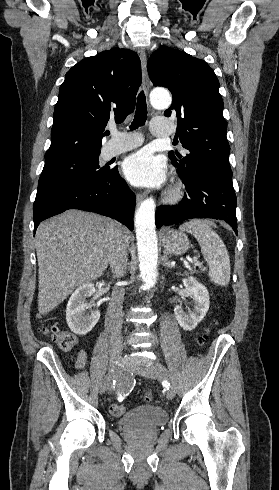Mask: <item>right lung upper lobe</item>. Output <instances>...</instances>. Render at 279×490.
I'll return each instance as SVG.
<instances>
[{
  "label": "right lung upper lobe",
  "mask_w": 279,
  "mask_h": 490,
  "mask_svg": "<svg viewBox=\"0 0 279 490\" xmlns=\"http://www.w3.org/2000/svg\"><path fill=\"white\" fill-rule=\"evenodd\" d=\"M141 84L138 55L112 48L72 67L60 87L45 163L100 154L108 121L134 110Z\"/></svg>",
  "instance_id": "cb5924a9"
}]
</instances>
